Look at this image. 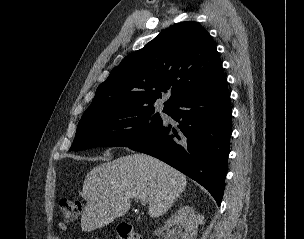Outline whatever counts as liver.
Wrapping results in <instances>:
<instances>
[{
	"label": "liver",
	"instance_id": "6515ba94",
	"mask_svg": "<svg viewBox=\"0 0 304 239\" xmlns=\"http://www.w3.org/2000/svg\"><path fill=\"white\" fill-rule=\"evenodd\" d=\"M186 176L146 154H131L93 168L86 176L82 197L83 231H93L124 216L130 199L146 198L149 215H163L186 187Z\"/></svg>",
	"mask_w": 304,
	"mask_h": 239
}]
</instances>
